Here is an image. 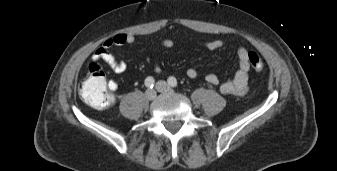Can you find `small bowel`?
Segmentation results:
<instances>
[{"label":"small bowel","instance_id":"c3829d8e","mask_svg":"<svg viewBox=\"0 0 337 171\" xmlns=\"http://www.w3.org/2000/svg\"><path fill=\"white\" fill-rule=\"evenodd\" d=\"M135 42V37L129 33H118L114 36L106 39L103 44L94 52L92 56L93 62L103 61L105 62L110 69L117 73L121 74L126 71L127 63L117 58L114 54L111 53L110 49L114 46H124L131 45ZM161 45L164 48H173L175 46V42L172 39L166 38L162 40ZM203 48L208 50H217L224 46V41L220 39L205 41L200 44ZM249 51L246 48H239L237 50V58H238V69L234 74L233 78L223 82L220 84L219 78L214 73H208L205 76V80L208 84L213 86H218L223 94L232 95V96H242L248 90V80H249V71H250V63H249ZM154 70L156 72L160 71V67L158 64H155ZM186 75L194 79L198 76V71L194 68H189L186 71ZM108 88L111 92H116L118 89V83L115 80L107 81Z\"/></svg>","mask_w":337,"mask_h":171}]
</instances>
